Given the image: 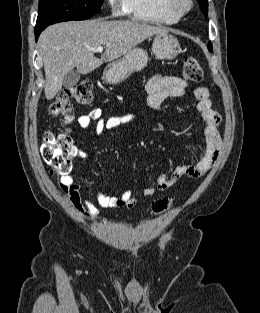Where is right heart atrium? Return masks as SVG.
I'll list each match as a JSON object with an SVG mask.
<instances>
[{
  "mask_svg": "<svg viewBox=\"0 0 260 313\" xmlns=\"http://www.w3.org/2000/svg\"><path fill=\"white\" fill-rule=\"evenodd\" d=\"M107 2L113 15H120L125 12L123 0H107Z\"/></svg>",
  "mask_w": 260,
  "mask_h": 313,
  "instance_id": "d8ad5b80",
  "label": "right heart atrium"
}]
</instances>
